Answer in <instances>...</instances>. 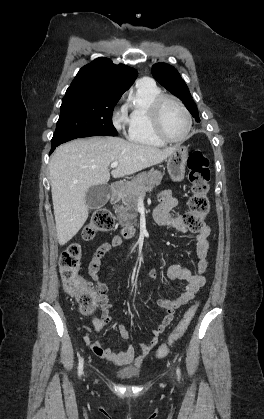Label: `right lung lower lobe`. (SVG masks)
I'll return each mask as SVG.
<instances>
[{
	"label": "right lung lower lobe",
	"instance_id": "obj_1",
	"mask_svg": "<svg viewBox=\"0 0 264 419\" xmlns=\"http://www.w3.org/2000/svg\"><path fill=\"white\" fill-rule=\"evenodd\" d=\"M89 136H102V135H96V134H83V135H79V136H77V137L71 138V139H69V140H67V141H70V140L75 139V138L89 137ZM67 141H66V142H67ZM63 143H64V142H63ZM57 146H58V145H57ZM57 146H52L51 151H50V154L54 151V149H55Z\"/></svg>",
	"mask_w": 264,
	"mask_h": 419
}]
</instances>
